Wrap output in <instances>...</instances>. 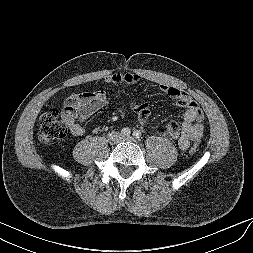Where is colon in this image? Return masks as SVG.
Here are the masks:
<instances>
[{"label":"colon","instance_id":"colon-1","mask_svg":"<svg viewBox=\"0 0 253 253\" xmlns=\"http://www.w3.org/2000/svg\"><path fill=\"white\" fill-rule=\"evenodd\" d=\"M68 125L61 119L60 113L56 108L45 109L39 119L38 138L42 143H51L66 135ZM199 150V144L194 143L189 152L196 154Z\"/></svg>","mask_w":253,"mask_h":253}]
</instances>
